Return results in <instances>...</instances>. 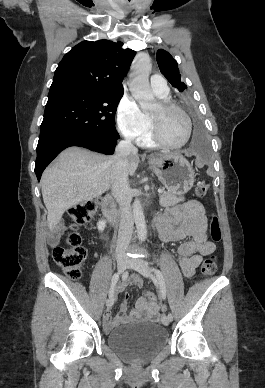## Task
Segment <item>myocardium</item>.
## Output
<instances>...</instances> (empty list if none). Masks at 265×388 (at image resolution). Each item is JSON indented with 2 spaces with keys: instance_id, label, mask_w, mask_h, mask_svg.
<instances>
[{
  "instance_id": "1",
  "label": "myocardium",
  "mask_w": 265,
  "mask_h": 388,
  "mask_svg": "<svg viewBox=\"0 0 265 388\" xmlns=\"http://www.w3.org/2000/svg\"><path fill=\"white\" fill-rule=\"evenodd\" d=\"M152 85L153 84L151 82V85H150L151 88H152ZM154 91L156 92V91H167V90H154ZM159 105H160V107L163 110H175V111H177L178 113H180L182 115V117L184 119V138H183L182 142H180L178 144L168 143L162 137V135H161V133L159 131V128H158V125H157V120H156L155 116L151 115L152 134H153L154 140L159 145H161V146H163L165 148H169V149H177V148L183 147L188 142V140L190 138V135H191V120H190L189 115L185 112L184 109H182L180 106H178L176 104L169 103V102H163V103H160Z\"/></svg>"
}]
</instances>
